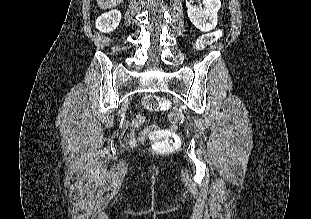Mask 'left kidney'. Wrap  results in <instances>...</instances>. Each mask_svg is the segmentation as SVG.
I'll return each mask as SVG.
<instances>
[{"mask_svg":"<svg viewBox=\"0 0 311 219\" xmlns=\"http://www.w3.org/2000/svg\"><path fill=\"white\" fill-rule=\"evenodd\" d=\"M199 5H193L192 0H186L187 13L193 25L202 32H209L217 25V13L221 7L220 0H197Z\"/></svg>","mask_w":311,"mask_h":219,"instance_id":"obj_1","label":"left kidney"}]
</instances>
